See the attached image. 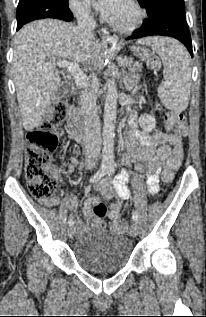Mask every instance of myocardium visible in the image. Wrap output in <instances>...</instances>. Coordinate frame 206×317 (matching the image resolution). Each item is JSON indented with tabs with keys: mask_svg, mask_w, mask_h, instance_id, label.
<instances>
[{
	"mask_svg": "<svg viewBox=\"0 0 206 317\" xmlns=\"http://www.w3.org/2000/svg\"><path fill=\"white\" fill-rule=\"evenodd\" d=\"M129 5L132 7L134 10V18L125 24H120L112 21L111 19H107L106 21L108 25L115 31L121 32V33H129L134 30H136L143 22L146 12L143 9V7L137 2V0H127Z\"/></svg>",
	"mask_w": 206,
	"mask_h": 317,
	"instance_id": "obj_1",
	"label": "myocardium"
}]
</instances>
